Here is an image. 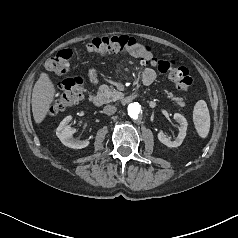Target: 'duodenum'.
<instances>
[{"instance_id":"duodenum-1","label":"duodenum","mask_w":238,"mask_h":238,"mask_svg":"<svg viewBox=\"0 0 238 238\" xmlns=\"http://www.w3.org/2000/svg\"><path fill=\"white\" fill-rule=\"evenodd\" d=\"M137 98H138V93H136V92L131 93L129 95H126L123 98V103L129 104V103L135 101ZM90 100L94 105L101 106L105 102V97L102 94L92 95Z\"/></svg>"}]
</instances>
